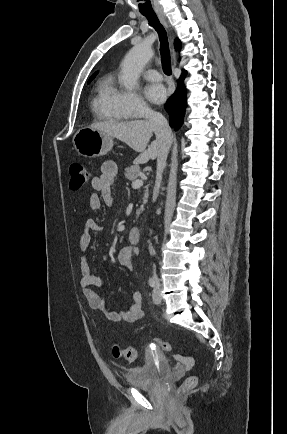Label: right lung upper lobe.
<instances>
[{
  "label": "right lung upper lobe",
  "mask_w": 287,
  "mask_h": 434,
  "mask_svg": "<svg viewBox=\"0 0 287 434\" xmlns=\"http://www.w3.org/2000/svg\"><path fill=\"white\" fill-rule=\"evenodd\" d=\"M175 48H176L177 50H180V48H181V42H180L178 39L175 40ZM96 74H97V72H95V73L90 77L89 81H91V80L96 76Z\"/></svg>",
  "instance_id": "1"
}]
</instances>
